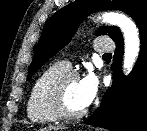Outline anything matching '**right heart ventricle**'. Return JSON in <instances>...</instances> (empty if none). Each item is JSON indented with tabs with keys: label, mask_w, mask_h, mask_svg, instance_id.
Listing matches in <instances>:
<instances>
[{
	"label": "right heart ventricle",
	"mask_w": 147,
	"mask_h": 131,
	"mask_svg": "<svg viewBox=\"0 0 147 131\" xmlns=\"http://www.w3.org/2000/svg\"><path fill=\"white\" fill-rule=\"evenodd\" d=\"M69 71L61 62L50 64L35 79L27 101V116L36 124H49L59 120L58 116L52 110L48 91L53 81Z\"/></svg>",
	"instance_id": "e07e8e85"
}]
</instances>
